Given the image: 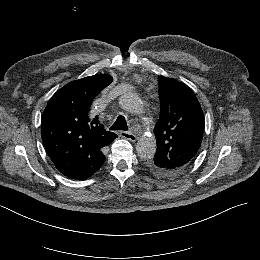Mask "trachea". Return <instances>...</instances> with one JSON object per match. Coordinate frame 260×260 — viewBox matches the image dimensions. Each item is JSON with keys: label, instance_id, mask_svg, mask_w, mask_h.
<instances>
[{"label": "trachea", "instance_id": "trachea-1", "mask_svg": "<svg viewBox=\"0 0 260 260\" xmlns=\"http://www.w3.org/2000/svg\"><path fill=\"white\" fill-rule=\"evenodd\" d=\"M110 130H128L126 119L123 115H119Z\"/></svg>", "mask_w": 260, "mask_h": 260}]
</instances>
